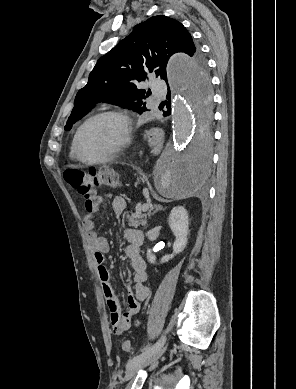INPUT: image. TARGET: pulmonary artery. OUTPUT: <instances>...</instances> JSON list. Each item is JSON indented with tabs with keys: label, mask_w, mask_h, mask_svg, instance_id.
I'll list each match as a JSON object with an SVG mask.
<instances>
[{
	"label": "pulmonary artery",
	"mask_w": 296,
	"mask_h": 389,
	"mask_svg": "<svg viewBox=\"0 0 296 389\" xmlns=\"http://www.w3.org/2000/svg\"><path fill=\"white\" fill-rule=\"evenodd\" d=\"M151 89L159 96L163 97L165 94V87L162 83L159 82H153L151 84Z\"/></svg>",
	"instance_id": "1"
}]
</instances>
